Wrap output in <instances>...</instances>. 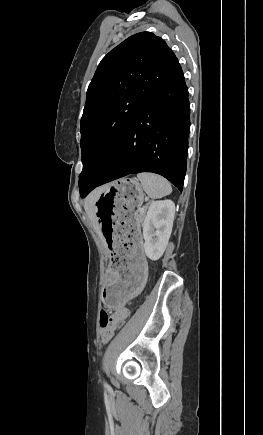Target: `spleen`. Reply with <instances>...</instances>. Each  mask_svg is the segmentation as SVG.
<instances>
[{
    "instance_id": "1",
    "label": "spleen",
    "mask_w": 263,
    "mask_h": 435,
    "mask_svg": "<svg viewBox=\"0 0 263 435\" xmlns=\"http://www.w3.org/2000/svg\"><path fill=\"white\" fill-rule=\"evenodd\" d=\"M137 177L144 191L152 199L161 198L172 192L170 183L160 175L144 172L139 173Z\"/></svg>"
}]
</instances>
